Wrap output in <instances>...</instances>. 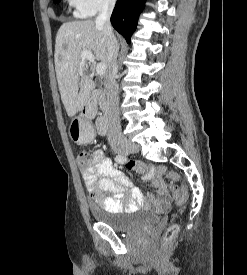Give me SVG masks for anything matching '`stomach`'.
<instances>
[{"label":"stomach","mask_w":247,"mask_h":275,"mask_svg":"<svg viewBox=\"0 0 247 275\" xmlns=\"http://www.w3.org/2000/svg\"><path fill=\"white\" fill-rule=\"evenodd\" d=\"M69 135L74 142L85 144L92 140L94 134L87 122L76 119L70 125Z\"/></svg>","instance_id":"obj_1"}]
</instances>
